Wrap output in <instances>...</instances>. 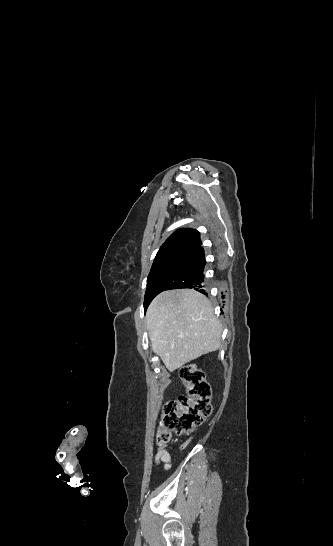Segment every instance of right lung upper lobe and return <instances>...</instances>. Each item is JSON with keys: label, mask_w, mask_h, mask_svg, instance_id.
I'll return each mask as SVG.
<instances>
[{"label": "right lung upper lobe", "mask_w": 333, "mask_h": 546, "mask_svg": "<svg viewBox=\"0 0 333 546\" xmlns=\"http://www.w3.org/2000/svg\"><path fill=\"white\" fill-rule=\"evenodd\" d=\"M202 244L200 233L194 229H179L160 247L158 253L168 250L189 251Z\"/></svg>", "instance_id": "right-lung-upper-lobe-1"}]
</instances>
